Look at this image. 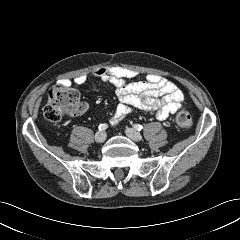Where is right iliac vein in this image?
<instances>
[{"instance_id": "obj_1", "label": "right iliac vein", "mask_w": 240, "mask_h": 240, "mask_svg": "<svg viewBox=\"0 0 240 240\" xmlns=\"http://www.w3.org/2000/svg\"><path fill=\"white\" fill-rule=\"evenodd\" d=\"M106 137H107V135L104 131H99L95 134V141L97 143H102L106 140Z\"/></svg>"}]
</instances>
